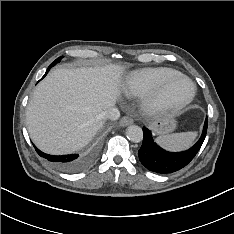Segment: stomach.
<instances>
[{"label":"stomach","instance_id":"0dacf381","mask_svg":"<svg viewBox=\"0 0 234 234\" xmlns=\"http://www.w3.org/2000/svg\"><path fill=\"white\" fill-rule=\"evenodd\" d=\"M150 128L157 135H167L176 128V120L173 116L161 117L151 123Z\"/></svg>","mask_w":234,"mask_h":234}]
</instances>
